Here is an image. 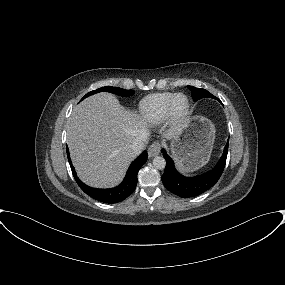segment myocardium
Instances as JSON below:
<instances>
[{
  "mask_svg": "<svg viewBox=\"0 0 285 285\" xmlns=\"http://www.w3.org/2000/svg\"><path fill=\"white\" fill-rule=\"evenodd\" d=\"M180 97L185 98L186 105L183 109L177 107V101ZM191 112V102L187 95L177 93L171 100L169 105L168 120L175 127L181 126L189 117Z\"/></svg>",
  "mask_w": 285,
  "mask_h": 285,
  "instance_id": "f54148a6",
  "label": "myocardium"
}]
</instances>
